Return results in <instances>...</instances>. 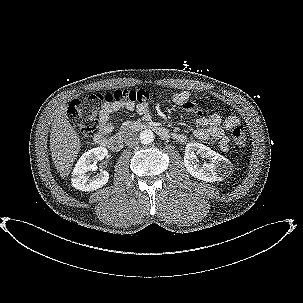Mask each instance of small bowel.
<instances>
[{
    "label": "small bowel",
    "mask_w": 303,
    "mask_h": 303,
    "mask_svg": "<svg viewBox=\"0 0 303 303\" xmlns=\"http://www.w3.org/2000/svg\"><path fill=\"white\" fill-rule=\"evenodd\" d=\"M174 102L177 104H184L189 101V93L186 91L174 93L172 95ZM120 109H126L128 111L137 110L140 114H148L149 108L146 103L131 104L125 102H116L105 104L99 112V129L96 135L97 142L106 138L113 130L112 124L109 122L110 116L119 111ZM201 115L197 119V124L200 128L194 131V136L199 140L218 142L223 149L228 146V138L226 131L240 125V119L237 116H228L222 121L220 115L216 113L200 110ZM174 139L178 142H184L186 136L182 133H175Z\"/></svg>",
    "instance_id": "small-bowel-1"
}]
</instances>
